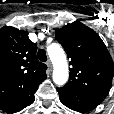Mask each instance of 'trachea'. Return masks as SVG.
<instances>
[{
    "instance_id": "trachea-1",
    "label": "trachea",
    "mask_w": 114,
    "mask_h": 114,
    "mask_svg": "<svg viewBox=\"0 0 114 114\" xmlns=\"http://www.w3.org/2000/svg\"><path fill=\"white\" fill-rule=\"evenodd\" d=\"M37 57L40 61L45 62L47 60L46 51L44 49H39Z\"/></svg>"
}]
</instances>
